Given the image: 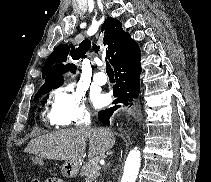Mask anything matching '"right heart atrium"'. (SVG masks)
Listing matches in <instances>:
<instances>
[{
  "label": "right heart atrium",
  "instance_id": "1",
  "mask_svg": "<svg viewBox=\"0 0 211 182\" xmlns=\"http://www.w3.org/2000/svg\"><path fill=\"white\" fill-rule=\"evenodd\" d=\"M50 116L58 126L80 125L90 119V112L81 92L63 87L51 94Z\"/></svg>",
  "mask_w": 211,
  "mask_h": 182
}]
</instances>
